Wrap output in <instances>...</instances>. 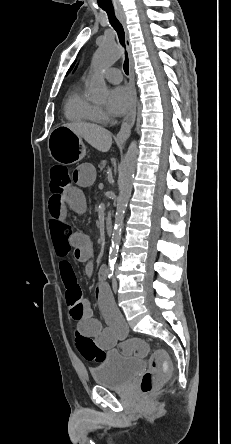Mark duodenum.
Returning <instances> with one entry per match:
<instances>
[{
  "mask_svg": "<svg viewBox=\"0 0 231 444\" xmlns=\"http://www.w3.org/2000/svg\"><path fill=\"white\" fill-rule=\"evenodd\" d=\"M105 231L107 235H111L113 233V220L111 217H108L105 222Z\"/></svg>",
  "mask_w": 231,
  "mask_h": 444,
  "instance_id": "duodenum-1",
  "label": "duodenum"
}]
</instances>
